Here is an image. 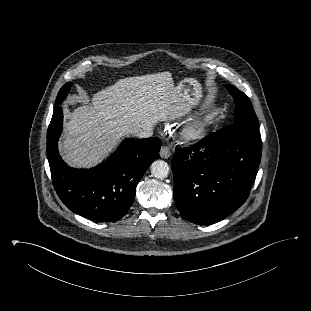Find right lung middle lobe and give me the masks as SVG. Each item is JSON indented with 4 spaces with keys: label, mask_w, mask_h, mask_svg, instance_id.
<instances>
[{
    "label": "right lung middle lobe",
    "mask_w": 311,
    "mask_h": 311,
    "mask_svg": "<svg viewBox=\"0 0 311 311\" xmlns=\"http://www.w3.org/2000/svg\"><path fill=\"white\" fill-rule=\"evenodd\" d=\"M72 84L66 83L59 91L58 96L55 101V107L59 106L63 99L66 97L67 93L69 92Z\"/></svg>",
    "instance_id": "1"
}]
</instances>
